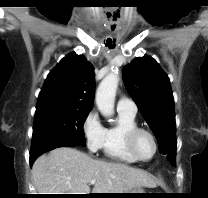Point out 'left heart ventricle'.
<instances>
[{
    "instance_id": "b2bd125f",
    "label": "left heart ventricle",
    "mask_w": 208,
    "mask_h": 198,
    "mask_svg": "<svg viewBox=\"0 0 208 198\" xmlns=\"http://www.w3.org/2000/svg\"><path fill=\"white\" fill-rule=\"evenodd\" d=\"M136 149L142 157H151L154 153L153 140L146 133H140L136 139Z\"/></svg>"
}]
</instances>
